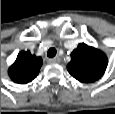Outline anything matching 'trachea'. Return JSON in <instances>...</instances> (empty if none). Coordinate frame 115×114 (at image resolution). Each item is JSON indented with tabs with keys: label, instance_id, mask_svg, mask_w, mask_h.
I'll return each mask as SVG.
<instances>
[{
	"label": "trachea",
	"instance_id": "trachea-1",
	"mask_svg": "<svg viewBox=\"0 0 115 114\" xmlns=\"http://www.w3.org/2000/svg\"><path fill=\"white\" fill-rule=\"evenodd\" d=\"M56 53H57V51H56L55 48H50V49L48 50V52H47V56H48L49 58H53V57L56 55Z\"/></svg>",
	"mask_w": 115,
	"mask_h": 114
}]
</instances>
